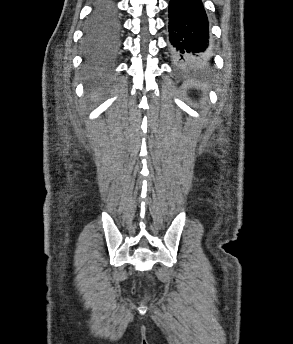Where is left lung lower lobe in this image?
Instances as JSON below:
<instances>
[{
	"instance_id": "0a47b994",
	"label": "left lung lower lobe",
	"mask_w": 293,
	"mask_h": 344,
	"mask_svg": "<svg viewBox=\"0 0 293 344\" xmlns=\"http://www.w3.org/2000/svg\"><path fill=\"white\" fill-rule=\"evenodd\" d=\"M168 27L175 60L196 62L210 57L208 19L201 0H171Z\"/></svg>"
}]
</instances>
